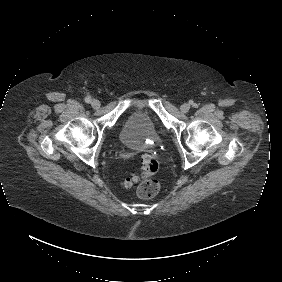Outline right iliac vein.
<instances>
[{
    "label": "right iliac vein",
    "mask_w": 282,
    "mask_h": 282,
    "mask_svg": "<svg viewBox=\"0 0 282 282\" xmlns=\"http://www.w3.org/2000/svg\"><path fill=\"white\" fill-rule=\"evenodd\" d=\"M91 105H92V107H93L94 109L100 108V102H99L98 100H93V101L91 102Z\"/></svg>",
    "instance_id": "obj_1"
}]
</instances>
